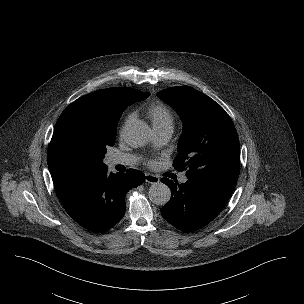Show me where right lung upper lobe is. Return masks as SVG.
Listing matches in <instances>:
<instances>
[{"label": "right lung upper lobe", "mask_w": 304, "mask_h": 304, "mask_svg": "<svg viewBox=\"0 0 304 304\" xmlns=\"http://www.w3.org/2000/svg\"><path fill=\"white\" fill-rule=\"evenodd\" d=\"M150 93L131 88H109L82 96L60 115L48 149V167L61 202L72 196L99 169L106 167L92 146L109 120L129 101Z\"/></svg>", "instance_id": "1"}]
</instances>
